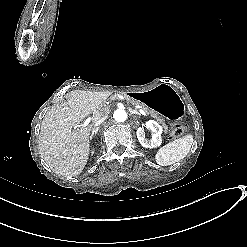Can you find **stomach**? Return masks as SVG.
<instances>
[{"label": "stomach", "instance_id": "obj_1", "mask_svg": "<svg viewBox=\"0 0 247 247\" xmlns=\"http://www.w3.org/2000/svg\"><path fill=\"white\" fill-rule=\"evenodd\" d=\"M160 116L179 120L185 112V105L175 90L167 84H159L149 90L129 93Z\"/></svg>", "mask_w": 247, "mask_h": 247}]
</instances>
